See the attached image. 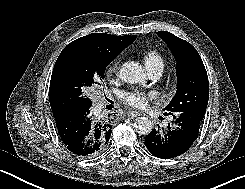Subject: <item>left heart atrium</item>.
Here are the masks:
<instances>
[{
    "mask_svg": "<svg viewBox=\"0 0 245 189\" xmlns=\"http://www.w3.org/2000/svg\"><path fill=\"white\" fill-rule=\"evenodd\" d=\"M153 96L151 92H145L137 88L124 90L120 94L123 103L133 107L140 108L146 105L147 101Z\"/></svg>",
    "mask_w": 245,
    "mask_h": 189,
    "instance_id": "obj_1",
    "label": "left heart atrium"
}]
</instances>
